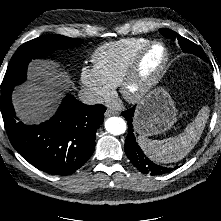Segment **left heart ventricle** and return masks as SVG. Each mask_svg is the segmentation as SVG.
<instances>
[{
	"mask_svg": "<svg viewBox=\"0 0 221 221\" xmlns=\"http://www.w3.org/2000/svg\"><path fill=\"white\" fill-rule=\"evenodd\" d=\"M163 57L164 51L160 46L153 47L147 53L141 64L139 83L145 82L155 74L163 60ZM137 86L138 85L134 86V89H136Z\"/></svg>",
	"mask_w": 221,
	"mask_h": 221,
	"instance_id": "obj_1",
	"label": "left heart ventricle"
}]
</instances>
